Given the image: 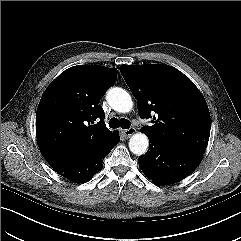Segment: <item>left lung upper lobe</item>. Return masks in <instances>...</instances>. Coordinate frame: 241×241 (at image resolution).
Returning <instances> with one entry per match:
<instances>
[{"instance_id": "left-lung-upper-lobe-1", "label": "left lung upper lobe", "mask_w": 241, "mask_h": 241, "mask_svg": "<svg viewBox=\"0 0 241 241\" xmlns=\"http://www.w3.org/2000/svg\"><path fill=\"white\" fill-rule=\"evenodd\" d=\"M120 72L136 98L139 115L153 116L142 127L148 138L203 154L210 136L207 103L183 73L166 64L121 65Z\"/></svg>"}]
</instances>
